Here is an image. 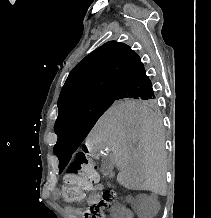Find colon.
I'll return each instance as SVG.
<instances>
[{
    "label": "colon",
    "mask_w": 211,
    "mask_h": 218,
    "mask_svg": "<svg viewBox=\"0 0 211 218\" xmlns=\"http://www.w3.org/2000/svg\"><path fill=\"white\" fill-rule=\"evenodd\" d=\"M98 179L96 165L90 151L87 147H83L68 167L60 196L68 202L81 201L97 184ZM115 197L116 192L112 188L106 189L99 201L89 204L86 209L79 212V218H105L106 211Z\"/></svg>",
    "instance_id": "5ec220e1"
}]
</instances>
